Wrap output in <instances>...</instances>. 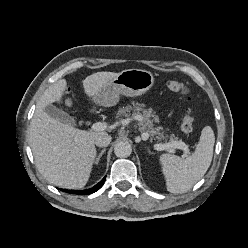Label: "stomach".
I'll return each instance as SVG.
<instances>
[{"label":"stomach","instance_id":"stomach-1","mask_svg":"<svg viewBox=\"0 0 248 248\" xmlns=\"http://www.w3.org/2000/svg\"><path fill=\"white\" fill-rule=\"evenodd\" d=\"M154 84V76L143 69H126L109 80L94 98L96 105L110 107L119 102L120 95L129 97L146 93Z\"/></svg>","mask_w":248,"mask_h":248}]
</instances>
